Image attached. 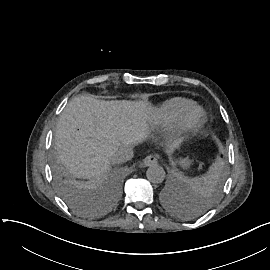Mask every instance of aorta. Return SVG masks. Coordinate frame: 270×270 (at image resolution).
Listing matches in <instances>:
<instances>
[{
  "instance_id": "1",
  "label": "aorta",
  "mask_w": 270,
  "mask_h": 270,
  "mask_svg": "<svg viewBox=\"0 0 270 270\" xmlns=\"http://www.w3.org/2000/svg\"><path fill=\"white\" fill-rule=\"evenodd\" d=\"M147 179L152 183H161L165 178V171L159 165L150 166L146 171Z\"/></svg>"
}]
</instances>
